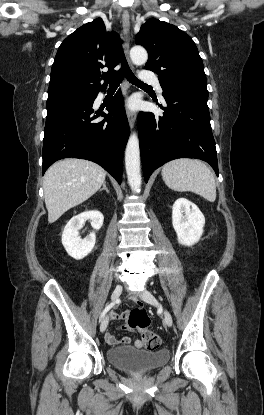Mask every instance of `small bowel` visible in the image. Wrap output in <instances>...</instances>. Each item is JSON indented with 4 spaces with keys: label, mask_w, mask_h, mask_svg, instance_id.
Returning a JSON list of instances; mask_svg holds the SVG:
<instances>
[{
    "label": "small bowel",
    "mask_w": 264,
    "mask_h": 415,
    "mask_svg": "<svg viewBox=\"0 0 264 415\" xmlns=\"http://www.w3.org/2000/svg\"><path fill=\"white\" fill-rule=\"evenodd\" d=\"M126 316L127 315L124 312H119V313L113 312V313L110 314V319L112 321H114V320H123V319L126 318ZM116 329L117 330H125V331H135L136 330L135 328L130 327L128 325H119ZM105 340H106L107 344H109L111 346H117V345H120V344L128 345V344L131 343V338L130 337L125 336L121 339H117V337L114 335L113 332H107L105 334ZM134 345L138 348L143 347L142 341L139 340V339L135 340Z\"/></svg>",
    "instance_id": "small-bowel-1"
}]
</instances>
